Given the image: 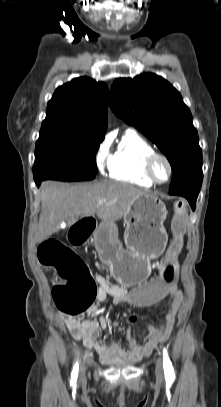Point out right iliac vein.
Instances as JSON below:
<instances>
[{
	"label": "right iliac vein",
	"instance_id": "right-iliac-vein-1",
	"mask_svg": "<svg viewBox=\"0 0 221 407\" xmlns=\"http://www.w3.org/2000/svg\"><path fill=\"white\" fill-rule=\"evenodd\" d=\"M84 372H85V364L82 363V364H81V367H80V375H83Z\"/></svg>",
	"mask_w": 221,
	"mask_h": 407
}]
</instances>
